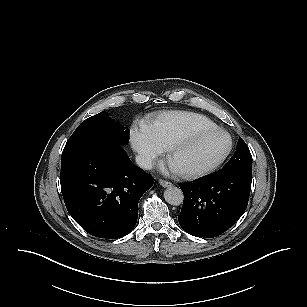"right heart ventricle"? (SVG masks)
<instances>
[{
    "instance_id": "1",
    "label": "right heart ventricle",
    "mask_w": 307,
    "mask_h": 307,
    "mask_svg": "<svg viewBox=\"0 0 307 307\" xmlns=\"http://www.w3.org/2000/svg\"><path fill=\"white\" fill-rule=\"evenodd\" d=\"M217 125L208 117L188 111H166L150 119L146 128L150 135L164 148L187 135Z\"/></svg>"
}]
</instances>
